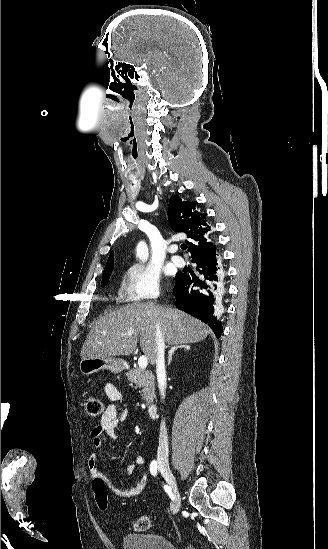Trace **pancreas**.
<instances>
[{
    "label": "pancreas",
    "mask_w": 328,
    "mask_h": 549,
    "mask_svg": "<svg viewBox=\"0 0 328 549\" xmlns=\"http://www.w3.org/2000/svg\"><path fill=\"white\" fill-rule=\"evenodd\" d=\"M126 377L128 381L135 383L137 387H143L141 391V399L145 401L146 405H150L155 397V381L154 375H152L151 371H146V369L136 367V369H131V371H128V373H126Z\"/></svg>",
    "instance_id": "cf45deb5"
}]
</instances>
